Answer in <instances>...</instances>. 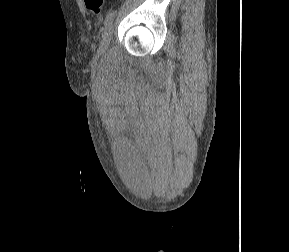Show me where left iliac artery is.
Returning <instances> with one entry per match:
<instances>
[{"label": "left iliac artery", "instance_id": "obj_1", "mask_svg": "<svg viewBox=\"0 0 289 252\" xmlns=\"http://www.w3.org/2000/svg\"><path fill=\"white\" fill-rule=\"evenodd\" d=\"M115 16V12L114 11H109L108 14L105 17L104 20V26L107 27L108 25H110L112 23V20Z\"/></svg>", "mask_w": 289, "mask_h": 252}]
</instances>
